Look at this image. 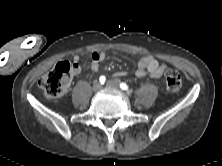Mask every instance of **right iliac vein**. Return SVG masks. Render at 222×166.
<instances>
[{
	"instance_id": "obj_1",
	"label": "right iliac vein",
	"mask_w": 222,
	"mask_h": 166,
	"mask_svg": "<svg viewBox=\"0 0 222 166\" xmlns=\"http://www.w3.org/2000/svg\"><path fill=\"white\" fill-rule=\"evenodd\" d=\"M94 92H98L102 89V84L99 82H95L92 87Z\"/></svg>"
}]
</instances>
